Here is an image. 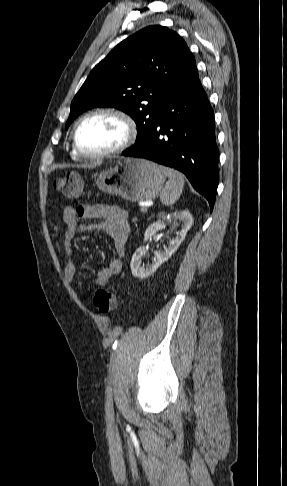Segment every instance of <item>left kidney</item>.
I'll list each match as a JSON object with an SVG mask.
<instances>
[{"instance_id":"left-kidney-1","label":"left kidney","mask_w":287,"mask_h":486,"mask_svg":"<svg viewBox=\"0 0 287 486\" xmlns=\"http://www.w3.org/2000/svg\"><path fill=\"white\" fill-rule=\"evenodd\" d=\"M158 220L147 227L144 233V242H147L153 235L159 230H162L171 222L177 220L182 222V229L176 233V237L171 239L168 247H165L163 251H156L154 260L152 263L146 266L141 265V258L145 253V247L138 248L132 256L131 271L132 275L136 278L145 279L154 273L165 261H167L172 254L178 249L180 244L185 239L187 232L193 225V217L187 210L178 211L172 214L159 213L157 215Z\"/></svg>"}]
</instances>
